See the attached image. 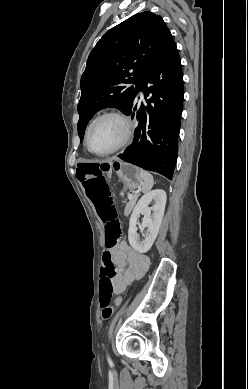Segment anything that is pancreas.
I'll return each mask as SVG.
<instances>
[{"mask_svg":"<svg viewBox=\"0 0 248 389\" xmlns=\"http://www.w3.org/2000/svg\"><path fill=\"white\" fill-rule=\"evenodd\" d=\"M137 198H138V195H133V198L131 200H129V202L127 203L126 207H125V215H128L132 208L134 207L136 201H137Z\"/></svg>","mask_w":248,"mask_h":389,"instance_id":"obj_1","label":"pancreas"}]
</instances>
